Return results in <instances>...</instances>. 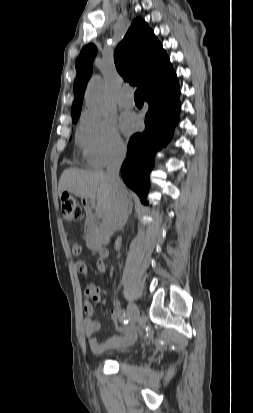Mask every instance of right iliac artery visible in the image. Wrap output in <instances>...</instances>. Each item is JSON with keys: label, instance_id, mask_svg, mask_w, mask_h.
<instances>
[{"label": "right iliac artery", "instance_id": "obj_1", "mask_svg": "<svg viewBox=\"0 0 253 413\" xmlns=\"http://www.w3.org/2000/svg\"><path fill=\"white\" fill-rule=\"evenodd\" d=\"M120 319L124 321V323H128L129 319L127 318V314L125 311H122L120 314Z\"/></svg>", "mask_w": 253, "mask_h": 413}]
</instances>
